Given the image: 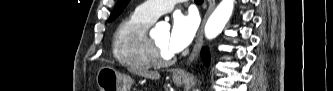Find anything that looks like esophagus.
<instances>
[{"instance_id": "34e87169", "label": "esophagus", "mask_w": 333, "mask_h": 91, "mask_svg": "<svg viewBox=\"0 0 333 91\" xmlns=\"http://www.w3.org/2000/svg\"><path fill=\"white\" fill-rule=\"evenodd\" d=\"M214 7H215V0H208V9L204 15V18L202 20V23H201V26H200V29L198 31V34H197V38H196V42L194 44V47H193V50L186 62V65H189L198 55L200 49H201V46L203 44V32H204V26L206 24V21L208 19V17L210 16V14L212 13V11L214 10ZM173 75L175 77H183L185 76V70L184 69H178L176 70Z\"/></svg>"}]
</instances>
